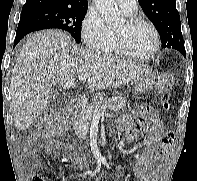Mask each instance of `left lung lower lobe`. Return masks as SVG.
<instances>
[{"label": "left lung lower lobe", "instance_id": "0a47b994", "mask_svg": "<svg viewBox=\"0 0 197 181\" xmlns=\"http://www.w3.org/2000/svg\"><path fill=\"white\" fill-rule=\"evenodd\" d=\"M183 56H186V52L183 53Z\"/></svg>", "mask_w": 197, "mask_h": 181}]
</instances>
